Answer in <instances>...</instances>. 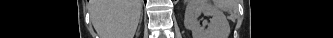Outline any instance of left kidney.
Here are the masks:
<instances>
[{"label":"left kidney","instance_id":"obj_1","mask_svg":"<svg viewBox=\"0 0 333 38\" xmlns=\"http://www.w3.org/2000/svg\"><path fill=\"white\" fill-rule=\"evenodd\" d=\"M201 14L211 17L210 22L205 20L200 24ZM184 24L192 31L193 38H228L230 34L226 16L209 0H188Z\"/></svg>","mask_w":333,"mask_h":38}]
</instances>
